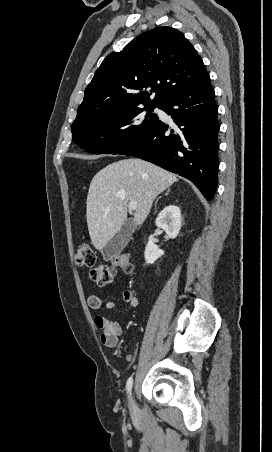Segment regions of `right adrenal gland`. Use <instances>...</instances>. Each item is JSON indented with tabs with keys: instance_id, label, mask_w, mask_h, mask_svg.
Here are the masks:
<instances>
[{
	"instance_id": "2a0ac1e0",
	"label": "right adrenal gland",
	"mask_w": 272,
	"mask_h": 452,
	"mask_svg": "<svg viewBox=\"0 0 272 452\" xmlns=\"http://www.w3.org/2000/svg\"><path fill=\"white\" fill-rule=\"evenodd\" d=\"M168 192H169V189H168V191L166 192V195H168Z\"/></svg>"
}]
</instances>
